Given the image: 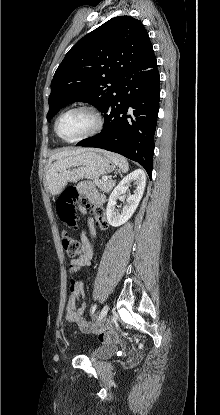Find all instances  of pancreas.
Segmentation results:
<instances>
[{"instance_id": "obj_1", "label": "pancreas", "mask_w": 220, "mask_h": 415, "mask_svg": "<svg viewBox=\"0 0 220 415\" xmlns=\"http://www.w3.org/2000/svg\"><path fill=\"white\" fill-rule=\"evenodd\" d=\"M94 183L100 190H102L105 193H109L115 185L114 180L104 181L100 179H95Z\"/></svg>"}]
</instances>
